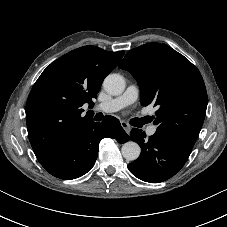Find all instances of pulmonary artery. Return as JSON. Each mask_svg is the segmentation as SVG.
I'll return each instance as SVG.
<instances>
[{
	"label": "pulmonary artery",
	"mask_w": 227,
	"mask_h": 227,
	"mask_svg": "<svg viewBox=\"0 0 227 227\" xmlns=\"http://www.w3.org/2000/svg\"><path fill=\"white\" fill-rule=\"evenodd\" d=\"M138 97H139V89L135 85H130L121 95L109 101L98 104L96 106V110L104 113L116 112L136 102ZM146 131L149 136H152L156 132V127L153 125L149 126Z\"/></svg>",
	"instance_id": "e3ab8cb5"
}]
</instances>
